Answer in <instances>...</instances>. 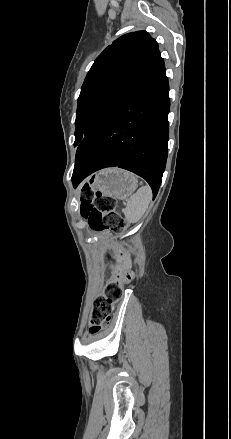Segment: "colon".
<instances>
[{
    "label": "colon",
    "mask_w": 231,
    "mask_h": 439,
    "mask_svg": "<svg viewBox=\"0 0 231 439\" xmlns=\"http://www.w3.org/2000/svg\"><path fill=\"white\" fill-rule=\"evenodd\" d=\"M81 214L88 219L91 229L99 232L117 231L126 226V221L116 211L117 201L114 197L102 195L90 186L84 185L80 189ZM132 274H126L124 282L131 280ZM123 293L119 281L106 283L103 293L94 301L91 316V330L97 333L110 321L114 304L119 301Z\"/></svg>",
    "instance_id": "5ec220e1"
}]
</instances>
